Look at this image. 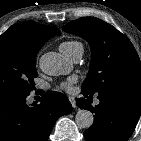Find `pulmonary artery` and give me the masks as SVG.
I'll list each match as a JSON object with an SVG mask.
<instances>
[{
	"mask_svg": "<svg viewBox=\"0 0 141 141\" xmlns=\"http://www.w3.org/2000/svg\"><path fill=\"white\" fill-rule=\"evenodd\" d=\"M83 51H77L73 55L70 56V59L74 62H78L82 57Z\"/></svg>",
	"mask_w": 141,
	"mask_h": 141,
	"instance_id": "obj_1",
	"label": "pulmonary artery"
}]
</instances>
